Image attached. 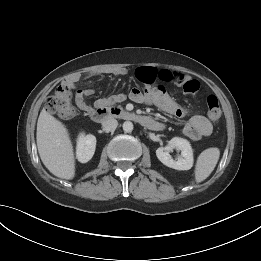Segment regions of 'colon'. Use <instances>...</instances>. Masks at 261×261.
I'll return each instance as SVG.
<instances>
[{"instance_id": "5ec220e1", "label": "colon", "mask_w": 261, "mask_h": 261, "mask_svg": "<svg viewBox=\"0 0 261 261\" xmlns=\"http://www.w3.org/2000/svg\"><path fill=\"white\" fill-rule=\"evenodd\" d=\"M208 118L211 121H218L222 111L219 101L215 95L207 98ZM46 109L64 120H69L75 116V108L72 103V86L63 83L57 87L54 94L48 98Z\"/></svg>"}]
</instances>
